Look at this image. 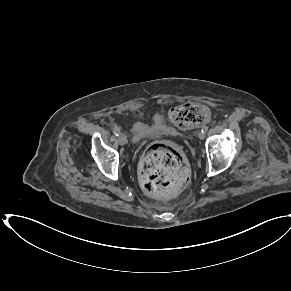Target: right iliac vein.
I'll return each mask as SVG.
<instances>
[{
    "instance_id": "63e3f726",
    "label": "right iliac vein",
    "mask_w": 291,
    "mask_h": 291,
    "mask_svg": "<svg viewBox=\"0 0 291 291\" xmlns=\"http://www.w3.org/2000/svg\"><path fill=\"white\" fill-rule=\"evenodd\" d=\"M120 145H125L127 143V136L124 133H120L118 137Z\"/></svg>"
}]
</instances>
